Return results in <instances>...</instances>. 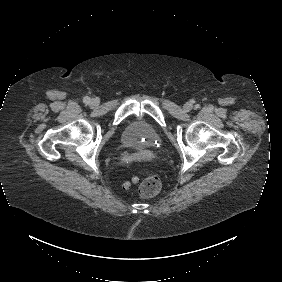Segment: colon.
Listing matches in <instances>:
<instances>
[{"instance_id":"obj_1","label":"colon","mask_w":282,"mask_h":282,"mask_svg":"<svg viewBox=\"0 0 282 282\" xmlns=\"http://www.w3.org/2000/svg\"><path fill=\"white\" fill-rule=\"evenodd\" d=\"M139 178H133L132 183H136ZM131 182H125L124 187L129 188ZM161 189V180L157 175H150L142 180L141 184L138 185V192L144 198L154 197Z\"/></svg>"}]
</instances>
